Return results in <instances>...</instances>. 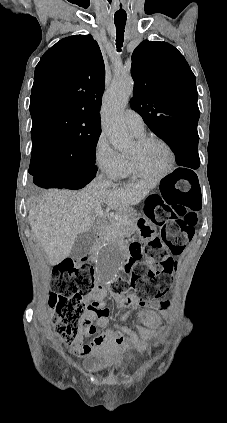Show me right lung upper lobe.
<instances>
[{
  "label": "right lung upper lobe",
  "mask_w": 227,
  "mask_h": 423,
  "mask_svg": "<svg viewBox=\"0 0 227 423\" xmlns=\"http://www.w3.org/2000/svg\"><path fill=\"white\" fill-rule=\"evenodd\" d=\"M105 66L91 35H74L46 51L30 97L32 151L69 147L101 131Z\"/></svg>",
  "instance_id": "1"
}]
</instances>
